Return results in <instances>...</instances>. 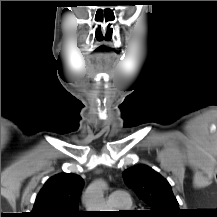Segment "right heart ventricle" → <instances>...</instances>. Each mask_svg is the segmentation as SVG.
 <instances>
[{
    "label": "right heart ventricle",
    "instance_id": "e07e8e85",
    "mask_svg": "<svg viewBox=\"0 0 217 217\" xmlns=\"http://www.w3.org/2000/svg\"><path fill=\"white\" fill-rule=\"evenodd\" d=\"M131 206H132V202H131L130 205L126 206L124 209H127V208H129V207H131Z\"/></svg>",
    "mask_w": 217,
    "mask_h": 217
}]
</instances>
